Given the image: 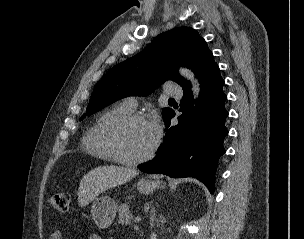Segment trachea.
<instances>
[{"mask_svg": "<svg viewBox=\"0 0 304 239\" xmlns=\"http://www.w3.org/2000/svg\"><path fill=\"white\" fill-rule=\"evenodd\" d=\"M169 101H175L174 99L170 98Z\"/></svg>", "mask_w": 304, "mask_h": 239, "instance_id": "3493384b", "label": "trachea"}]
</instances>
